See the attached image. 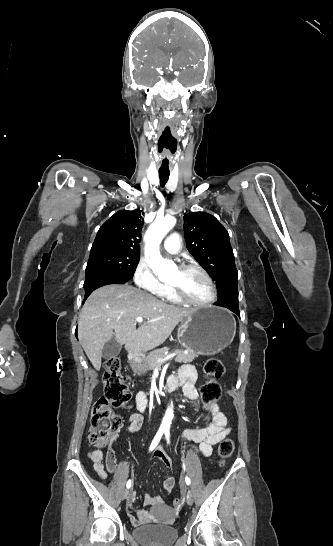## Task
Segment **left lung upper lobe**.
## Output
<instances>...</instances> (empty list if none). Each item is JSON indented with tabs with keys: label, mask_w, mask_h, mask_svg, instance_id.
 Masks as SVG:
<instances>
[{
	"label": "left lung upper lobe",
	"mask_w": 333,
	"mask_h": 546,
	"mask_svg": "<svg viewBox=\"0 0 333 546\" xmlns=\"http://www.w3.org/2000/svg\"><path fill=\"white\" fill-rule=\"evenodd\" d=\"M183 220L187 249L216 282L218 302L230 299L238 292V273L227 230L205 212L185 214Z\"/></svg>",
	"instance_id": "left-lung-upper-lobe-1"
}]
</instances>
